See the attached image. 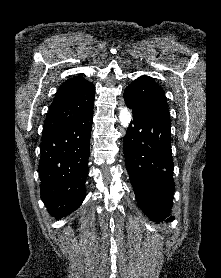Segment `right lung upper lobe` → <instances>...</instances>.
I'll return each mask as SVG.
<instances>
[{
    "mask_svg": "<svg viewBox=\"0 0 221 278\" xmlns=\"http://www.w3.org/2000/svg\"><path fill=\"white\" fill-rule=\"evenodd\" d=\"M94 92L93 83L82 77H74L62 84L44 122L42 139L86 115L94 107Z\"/></svg>",
    "mask_w": 221,
    "mask_h": 278,
    "instance_id": "cb5924a9",
    "label": "right lung upper lobe"
}]
</instances>
